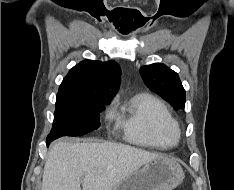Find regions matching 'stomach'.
Instances as JSON below:
<instances>
[{
	"label": "stomach",
	"instance_id": "0dacf381",
	"mask_svg": "<svg viewBox=\"0 0 234 190\" xmlns=\"http://www.w3.org/2000/svg\"><path fill=\"white\" fill-rule=\"evenodd\" d=\"M184 177L179 163L160 156L124 177L112 190H173Z\"/></svg>",
	"mask_w": 234,
	"mask_h": 190
}]
</instances>
